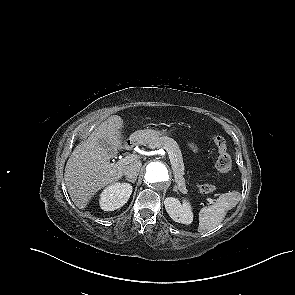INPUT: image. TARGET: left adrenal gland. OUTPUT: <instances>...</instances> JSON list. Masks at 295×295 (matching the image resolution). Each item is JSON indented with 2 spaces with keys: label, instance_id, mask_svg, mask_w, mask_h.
Instances as JSON below:
<instances>
[{
  "label": "left adrenal gland",
  "instance_id": "obj_1",
  "mask_svg": "<svg viewBox=\"0 0 295 295\" xmlns=\"http://www.w3.org/2000/svg\"><path fill=\"white\" fill-rule=\"evenodd\" d=\"M173 191H175V192L178 191L177 186H174Z\"/></svg>",
  "mask_w": 295,
  "mask_h": 295
}]
</instances>
